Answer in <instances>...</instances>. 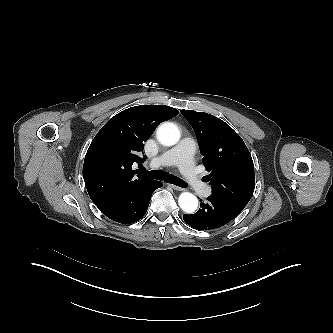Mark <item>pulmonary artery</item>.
I'll return each mask as SVG.
<instances>
[{
  "label": "pulmonary artery",
  "mask_w": 333,
  "mask_h": 333,
  "mask_svg": "<svg viewBox=\"0 0 333 333\" xmlns=\"http://www.w3.org/2000/svg\"><path fill=\"white\" fill-rule=\"evenodd\" d=\"M195 142L190 138L182 139L178 145L151 161L152 166H178L188 184L200 195L208 196L210 187L205 185L194 165Z\"/></svg>",
  "instance_id": "obj_1"
}]
</instances>
